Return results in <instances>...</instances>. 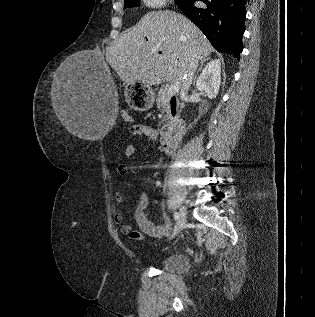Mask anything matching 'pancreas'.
Returning <instances> with one entry per match:
<instances>
[{
  "mask_svg": "<svg viewBox=\"0 0 315 317\" xmlns=\"http://www.w3.org/2000/svg\"><path fill=\"white\" fill-rule=\"evenodd\" d=\"M168 89L162 87L157 94L156 104L158 108H163L162 121H164L163 127L168 126V122L171 119L170 115V95L167 93Z\"/></svg>",
  "mask_w": 315,
  "mask_h": 317,
  "instance_id": "1",
  "label": "pancreas"
}]
</instances>
